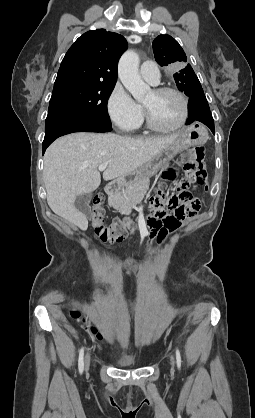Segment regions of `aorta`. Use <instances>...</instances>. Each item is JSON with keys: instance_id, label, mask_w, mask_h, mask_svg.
I'll list each match as a JSON object with an SVG mask.
<instances>
[{"instance_id": "obj_1", "label": "aorta", "mask_w": 255, "mask_h": 418, "mask_svg": "<svg viewBox=\"0 0 255 418\" xmlns=\"http://www.w3.org/2000/svg\"><path fill=\"white\" fill-rule=\"evenodd\" d=\"M139 56L134 51H126L118 64V75L124 87L134 99L142 102L151 92L149 85L144 83L139 75Z\"/></svg>"}]
</instances>
